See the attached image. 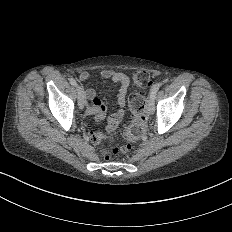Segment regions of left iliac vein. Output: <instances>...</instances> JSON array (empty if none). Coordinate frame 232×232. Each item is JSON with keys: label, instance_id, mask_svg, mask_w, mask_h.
<instances>
[{"label": "left iliac vein", "instance_id": "left-iliac-vein-1", "mask_svg": "<svg viewBox=\"0 0 232 232\" xmlns=\"http://www.w3.org/2000/svg\"><path fill=\"white\" fill-rule=\"evenodd\" d=\"M154 97H155V94L150 95V98H149V105L147 106V114L149 116H152L154 114Z\"/></svg>", "mask_w": 232, "mask_h": 232}]
</instances>
